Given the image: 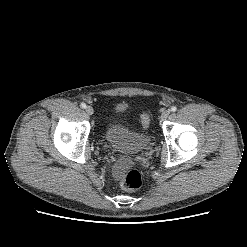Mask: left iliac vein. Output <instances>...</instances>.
Here are the masks:
<instances>
[{"label": "left iliac vein", "instance_id": "left-iliac-vein-1", "mask_svg": "<svg viewBox=\"0 0 247 247\" xmlns=\"http://www.w3.org/2000/svg\"><path fill=\"white\" fill-rule=\"evenodd\" d=\"M169 115H170V110H165V111H163L162 114H161V119H162V120H165V119L168 118Z\"/></svg>", "mask_w": 247, "mask_h": 247}]
</instances>
